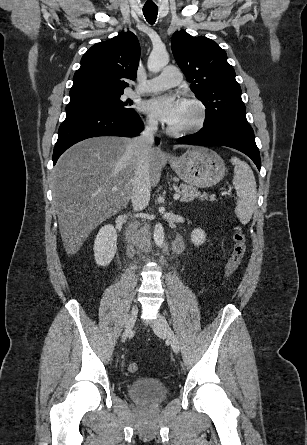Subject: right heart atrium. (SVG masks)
Returning <instances> with one entry per match:
<instances>
[{"label": "right heart atrium", "mask_w": 307, "mask_h": 445, "mask_svg": "<svg viewBox=\"0 0 307 445\" xmlns=\"http://www.w3.org/2000/svg\"><path fill=\"white\" fill-rule=\"evenodd\" d=\"M147 126L150 128H155L157 126V120L153 115L147 117Z\"/></svg>", "instance_id": "d8ad5b80"}]
</instances>
